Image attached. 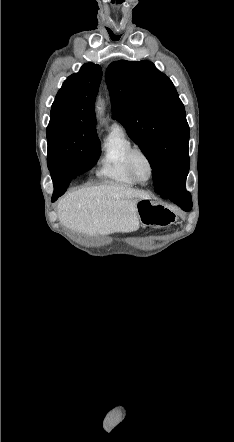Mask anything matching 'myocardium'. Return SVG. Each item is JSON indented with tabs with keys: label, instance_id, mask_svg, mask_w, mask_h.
Returning a JSON list of instances; mask_svg holds the SVG:
<instances>
[{
	"label": "myocardium",
	"instance_id": "f54148a6",
	"mask_svg": "<svg viewBox=\"0 0 234 442\" xmlns=\"http://www.w3.org/2000/svg\"><path fill=\"white\" fill-rule=\"evenodd\" d=\"M136 154H142L146 158V160L148 161V164L150 166V176L146 181L139 179L134 171L133 158ZM126 166H127L128 172L130 173L131 177L139 184H147L153 178L154 173H155V166H154L151 156L144 149H142L140 147H133L128 152L127 157H126Z\"/></svg>",
	"mask_w": 234,
	"mask_h": 442
}]
</instances>
